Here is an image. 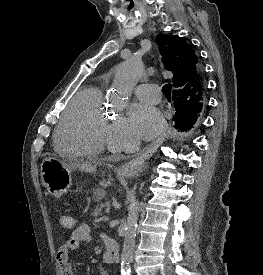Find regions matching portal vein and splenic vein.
I'll return each mask as SVG.
<instances>
[{"instance_id": "portal-vein-and-splenic-vein-1", "label": "portal vein and splenic vein", "mask_w": 263, "mask_h": 275, "mask_svg": "<svg viewBox=\"0 0 263 275\" xmlns=\"http://www.w3.org/2000/svg\"><path fill=\"white\" fill-rule=\"evenodd\" d=\"M103 220H104V221H108L109 218H108L107 216H104V217H103Z\"/></svg>"}]
</instances>
